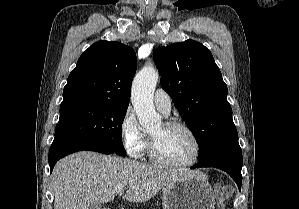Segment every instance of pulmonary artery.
<instances>
[{
  "label": "pulmonary artery",
  "instance_id": "pulmonary-artery-1",
  "mask_svg": "<svg viewBox=\"0 0 299 209\" xmlns=\"http://www.w3.org/2000/svg\"><path fill=\"white\" fill-rule=\"evenodd\" d=\"M156 108L164 115H168L171 110V98L163 89H157L153 95Z\"/></svg>",
  "mask_w": 299,
  "mask_h": 209
}]
</instances>
